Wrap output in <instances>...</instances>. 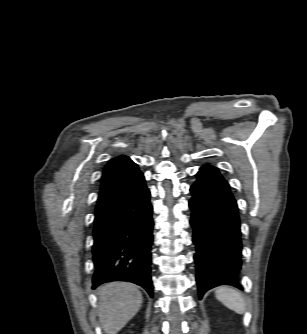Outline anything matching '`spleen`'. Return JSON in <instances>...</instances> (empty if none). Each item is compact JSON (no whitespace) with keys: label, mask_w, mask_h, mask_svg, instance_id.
Segmentation results:
<instances>
[{"label":"spleen","mask_w":307,"mask_h":334,"mask_svg":"<svg viewBox=\"0 0 307 334\" xmlns=\"http://www.w3.org/2000/svg\"><path fill=\"white\" fill-rule=\"evenodd\" d=\"M216 298L229 309L242 314L245 311V301L242 293L230 287H219L215 291Z\"/></svg>","instance_id":"3e777b00"}]
</instances>
